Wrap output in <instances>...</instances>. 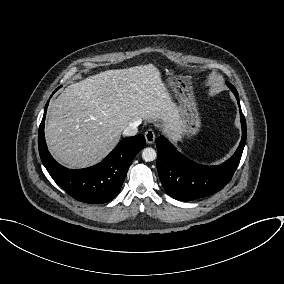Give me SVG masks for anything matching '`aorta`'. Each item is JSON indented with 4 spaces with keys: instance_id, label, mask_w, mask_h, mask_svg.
Instances as JSON below:
<instances>
[{
    "instance_id": "aorta-1",
    "label": "aorta",
    "mask_w": 284,
    "mask_h": 284,
    "mask_svg": "<svg viewBox=\"0 0 284 284\" xmlns=\"http://www.w3.org/2000/svg\"><path fill=\"white\" fill-rule=\"evenodd\" d=\"M157 157L155 149L151 147L144 148L142 151V158L146 162L154 161Z\"/></svg>"
}]
</instances>
